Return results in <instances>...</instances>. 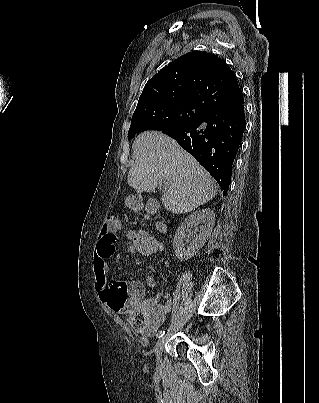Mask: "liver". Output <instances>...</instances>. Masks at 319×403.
<instances>
[{
  "label": "liver",
  "mask_w": 319,
  "mask_h": 403,
  "mask_svg": "<svg viewBox=\"0 0 319 403\" xmlns=\"http://www.w3.org/2000/svg\"><path fill=\"white\" fill-rule=\"evenodd\" d=\"M134 164L127 182L137 193L158 187L164 207L174 213L190 212L217 194L215 180L171 137L146 131L133 143Z\"/></svg>",
  "instance_id": "1"
}]
</instances>
